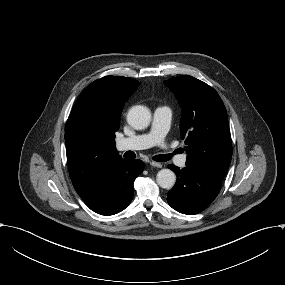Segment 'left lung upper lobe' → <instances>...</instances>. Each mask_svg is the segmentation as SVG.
<instances>
[{"label":"left lung upper lobe","instance_id":"left-lung-upper-lobe-1","mask_svg":"<svg viewBox=\"0 0 285 285\" xmlns=\"http://www.w3.org/2000/svg\"><path fill=\"white\" fill-rule=\"evenodd\" d=\"M164 84L182 108L180 133L187 145L186 166L222 181L231 161L232 141L220 96L206 83L188 75L171 78Z\"/></svg>","mask_w":285,"mask_h":285}]
</instances>
